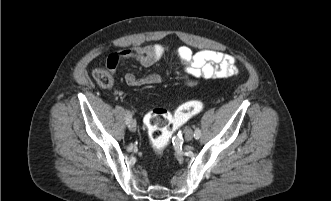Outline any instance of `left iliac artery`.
Masks as SVG:
<instances>
[{
    "label": "left iliac artery",
    "mask_w": 331,
    "mask_h": 201,
    "mask_svg": "<svg viewBox=\"0 0 331 201\" xmlns=\"http://www.w3.org/2000/svg\"><path fill=\"white\" fill-rule=\"evenodd\" d=\"M194 137L196 139H199L201 137V130L199 128H196V130L194 132Z\"/></svg>",
    "instance_id": "left-iliac-artery-1"
}]
</instances>
